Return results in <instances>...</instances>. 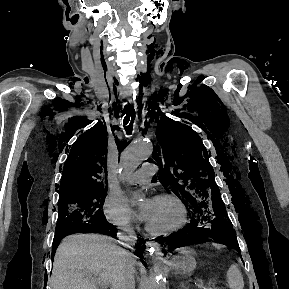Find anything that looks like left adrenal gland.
I'll return each mask as SVG.
<instances>
[{
    "label": "left adrenal gland",
    "instance_id": "a2214340",
    "mask_svg": "<svg viewBox=\"0 0 289 289\" xmlns=\"http://www.w3.org/2000/svg\"><path fill=\"white\" fill-rule=\"evenodd\" d=\"M180 289H189L185 282L180 283Z\"/></svg>",
    "mask_w": 289,
    "mask_h": 289
}]
</instances>
